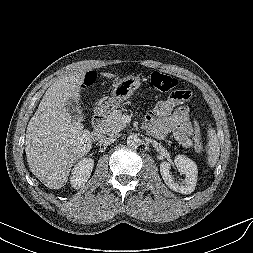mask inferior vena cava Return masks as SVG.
Segmentation results:
<instances>
[{"mask_svg": "<svg viewBox=\"0 0 253 253\" xmlns=\"http://www.w3.org/2000/svg\"><path fill=\"white\" fill-rule=\"evenodd\" d=\"M116 138H117V136L114 134H110L109 136L104 135L99 139V143L104 144V145H108V144L113 143L116 140Z\"/></svg>", "mask_w": 253, "mask_h": 253, "instance_id": "602c4592", "label": "inferior vena cava"}]
</instances>
